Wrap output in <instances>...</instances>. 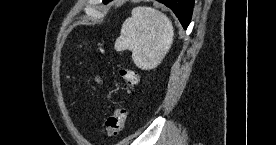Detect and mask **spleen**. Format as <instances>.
Returning <instances> with one entry per match:
<instances>
[{
    "mask_svg": "<svg viewBox=\"0 0 276 145\" xmlns=\"http://www.w3.org/2000/svg\"><path fill=\"white\" fill-rule=\"evenodd\" d=\"M173 39V25L164 13L151 7H135L122 25L115 49L130 50L138 68L151 70L162 62Z\"/></svg>",
    "mask_w": 276,
    "mask_h": 145,
    "instance_id": "3e777b00",
    "label": "spleen"
}]
</instances>
